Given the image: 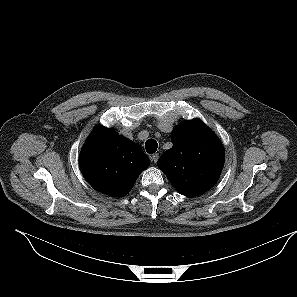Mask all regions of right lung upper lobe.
<instances>
[{
	"label": "right lung upper lobe",
	"instance_id": "1",
	"mask_svg": "<svg viewBox=\"0 0 297 297\" xmlns=\"http://www.w3.org/2000/svg\"><path fill=\"white\" fill-rule=\"evenodd\" d=\"M149 165L136 143L103 126L92 131L79 155L81 172L89 184L114 197L126 195Z\"/></svg>",
	"mask_w": 297,
	"mask_h": 297
}]
</instances>
